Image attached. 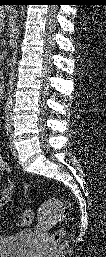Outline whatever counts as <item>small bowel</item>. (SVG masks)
<instances>
[{
    "instance_id": "1",
    "label": "small bowel",
    "mask_w": 106,
    "mask_h": 257,
    "mask_svg": "<svg viewBox=\"0 0 106 257\" xmlns=\"http://www.w3.org/2000/svg\"><path fill=\"white\" fill-rule=\"evenodd\" d=\"M10 171L8 164L0 159V173L1 175H5ZM14 190V184L11 181H4L1 188V195H0V204L1 206L7 203L10 199L11 194Z\"/></svg>"
}]
</instances>
